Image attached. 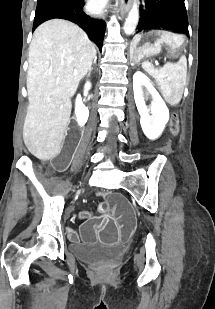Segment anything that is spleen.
Masks as SVG:
<instances>
[{"instance_id": "1", "label": "spleen", "mask_w": 215, "mask_h": 309, "mask_svg": "<svg viewBox=\"0 0 215 309\" xmlns=\"http://www.w3.org/2000/svg\"><path fill=\"white\" fill-rule=\"evenodd\" d=\"M142 68L156 78L166 102L176 106L182 98L184 88V74L178 62H166L162 68H155L149 60H144Z\"/></svg>"}]
</instances>
